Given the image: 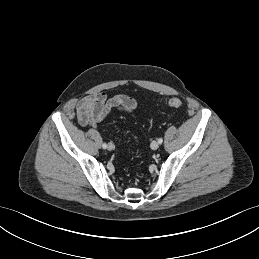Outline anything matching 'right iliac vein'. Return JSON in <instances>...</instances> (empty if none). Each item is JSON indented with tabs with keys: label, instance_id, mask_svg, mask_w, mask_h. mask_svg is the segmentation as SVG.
<instances>
[{
	"label": "right iliac vein",
	"instance_id": "obj_1",
	"mask_svg": "<svg viewBox=\"0 0 259 259\" xmlns=\"http://www.w3.org/2000/svg\"><path fill=\"white\" fill-rule=\"evenodd\" d=\"M113 149H114V145H113L112 143H109V144H108V150L111 151V150H113Z\"/></svg>",
	"mask_w": 259,
	"mask_h": 259
}]
</instances>
